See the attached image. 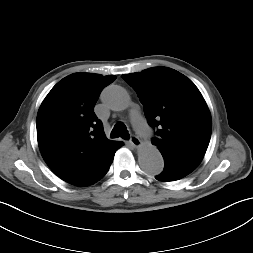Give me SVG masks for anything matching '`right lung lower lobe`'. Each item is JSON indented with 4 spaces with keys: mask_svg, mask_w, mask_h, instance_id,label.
<instances>
[{
    "mask_svg": "<svg viewBox=\"0 0 253 253\" xmlns=\"http://www.w3.org/2000/svg\"><path fill=\"white\" fill-rule=\"evenodd\" d=\"M123 145V142L120 141H116V143L114 144V146L112 147L111 151L109 152V155L107 157V163H106V173L113 161V157L115 152Z\"/></svg>",
    "mask_w": 253,
    "mask_h": 253,
    "instance_id": "98d812e1",
    "label": "right lung lower lobe"
}]
</instances>
